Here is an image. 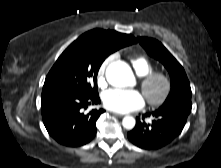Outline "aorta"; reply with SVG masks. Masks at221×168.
<instances>
[{
	"label": "aorta",
	"mask_w": 221,
	"mask_h": 168,
	"mask_svg": "<svg viewBox=\"0 0 221 168\" xmlns=\"http://www.w3.org/2000/svg\"><path fill=\"white\" fill-rule=\"evenodd\" d=\"M106 78L112 86L126 87L132 83L134 76L130 66L126 62L118 60L109 64L106 69ZM135 123L132 116H126L122 120V125L127 130L133 129Z\"/></svg>",
	"instance_id": "1"
}]
</instances>
